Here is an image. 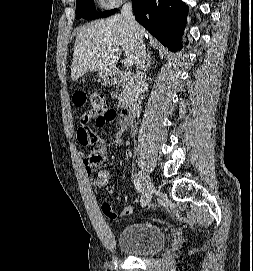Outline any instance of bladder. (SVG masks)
Returning a JSON list of instances; mask_svg holds the SVG:
<instances>
[{"label": "bladder", "mask_w": 253, "mask_h": 271, "mask_svg": "<svg viewBox=\"0 0 253 271\" xmlns=\"http://www.w3.org/2000/svg\"><path fill=\"white\" fill-rule=\"evenodd\" d=\"M167 243L164 229L154 223L140 222L125 227L117 238L118 248L130 255L149 256L160 252Z\"/></svg>", "instance_id": "bladder-1"}]
</instances>
